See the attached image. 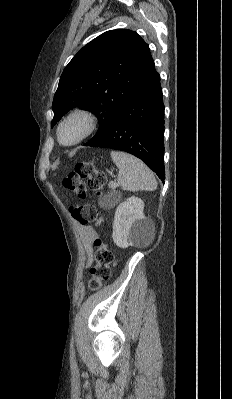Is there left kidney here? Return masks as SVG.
<instances>
[{"mask_svg": "<svg viewBox=\"0 0 232 399\" xmlns=\"http://www.w3.org/2000/svg\"><path fill=\"white\" fill-rule=\"evenodd\" d=\"M144 201L140 198H128L118 205L113 221V241L119 247L136 245L145 239L151 227V221L145 217Z\"/></svg>", "mask_w": 232, "mask_h": 399, "instance_id": "1", "label": "left kidney"}]
</instances>
